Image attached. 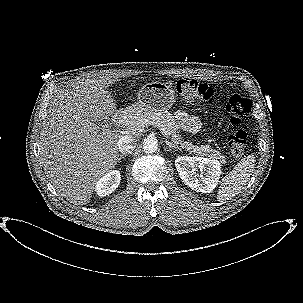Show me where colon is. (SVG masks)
<instances>
[{
	"label": "colon",
	"mask_w": 303,
	"mask_h": 303,
	"mask_svg": "<svg viewBox=\"0 0 303 303\" xmlns=\"http://www.w3.org/2000/svg\"><path fill=\"white\" fill-rule=\"evenodd\" d=\"M177 91L187 100L202 103L214 104L216 98L213 90L205 85L192 80H182L177 84ZM225 112L229 116L233 126H239L244 116L251 110V101L237 94L231 95L226 104ZM225 136L234 157L244 155L247 143V134L243 129L226 130Z\"/></svg>",
	"instance_id": "5ec220e1"
}]
</instances>
